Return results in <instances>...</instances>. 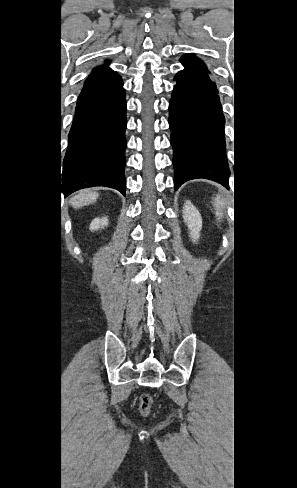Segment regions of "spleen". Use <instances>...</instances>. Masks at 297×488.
<instances>
[{
    "label": "spleen",
    "instance_id": "obj_1",
    "mask_svg": "<svg viewBox=\"0 0 297 488\" xmlns=\"http://www.w3.org/2000/svg\"><path fill=\"white\" fill-rule=\"evenodd\" d=\"M214 206L216 209V216L218 218H221V216H222L221 210L223 208V202L219 196H217L216 199L214 200Z\"/></svg>",
    "mask_w": 297,
    "mask_h": 488
}]
</instances>
